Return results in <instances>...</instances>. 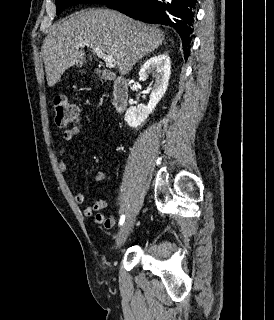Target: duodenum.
<instances>
[{
  "instance_id": "410a0bca",
  "label": "duodenum",
  "mask_w": 274,
  "mask_h": 320,
  "mask_svg": "<svg viewBox=\"0 0 274 320\" xmlns=\"http://www.w3.org/2000/svg\"><path fill=\"white\" fill-rule=\"evenodd\" d=\"M129 100V86L124 79H118L113 86L112 105L116 111H123Z\"/></svg>"
}]
</instances>
